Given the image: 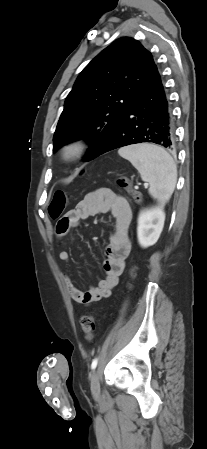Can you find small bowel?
<instances>
[{"label":"small bowel","instance_id":"small-bowel-1","mask_svg":"<svg viewBox=\"0 0 207 449\" xmlns=\"http://www.w3.org/2000/svg\"><path fill=\"white\" fill-rule=\"evenodd\" d=\"M98 213H108L114 220L113 232L109 237L104 263V278L95 288L81 290L69 276L65 275L67 290L75 302L90 305L108 297L117 286L131 251L130 224L132 209L128 201L114 191L101 188L87 194L74 209L67 212L57 223L58 236L63 237L76 228L81 220ZM59 258L69 263L70 255L63 250Z\"/></svg>","mask_w":207,"mask_h":449}]
</instances>
